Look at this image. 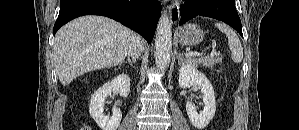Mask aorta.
<instances>
[{
	"label": "aorta",
	"mask_w": 299,
	"mask_h": 130,
	"mask_svg": "<svg viewBox=\"0 0 299 130\" xmlns=\"http://www.w3.org/2000/svg\"><path fill=\"white\" fill-rule=\"evenodd\" d=\"M172 24L165 11L157 24L155 38V63L159 70H165L171 61Z\"/></svg>",
	"instance_id": "1"
}]
</instances>
